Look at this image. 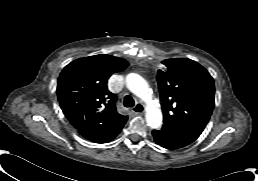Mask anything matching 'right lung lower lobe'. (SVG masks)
<instances>
[{
	"mask_svg": "<svg viewBox=\"0 0 258 181\" xmlns=\"http://www.w3.org/2000/svg\"><path fill=\"white\" fill-rule=\"evenodd\" d=\"M126 120L117 121L107 125H101L97 128L83 131L80 134L86 139L95 143H105L114 139L121 131Z\"/></svg>",
	"mask_w": 258,
	"mask_h": 181,
	"instance_id": "1",
	"label": "right lung lower lobe"
}]
</instances>
